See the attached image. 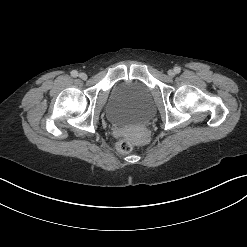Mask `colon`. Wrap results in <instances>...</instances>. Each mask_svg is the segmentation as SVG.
I'll list each match as a JSON object with an SVG mask.
<instances>
[{
    "mask_svg": "<svg viewBox=\"0 0 247 247\" xmlns=\"http://www.w3.org/2000/svg\"><path fill=\"white\" fill-rule=\"evenodd\" d=\"M134 147L133 141L130 139H123L117 145V150L119 153L127 154L132 151Z\"/></svg>",
    "mask_w": 247,
    "mask_h": 247,
    "instance_id": "5ec220e1",
    "label": "colon"
}]
</instances>
